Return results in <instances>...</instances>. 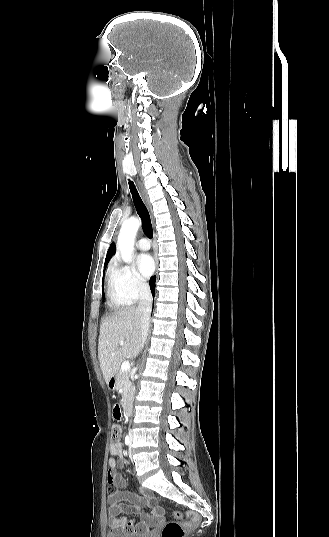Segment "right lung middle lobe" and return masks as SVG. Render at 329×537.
I'll return each mask as SVG.
<instances>
[{
	"label": "right lung middle lobe",
	"mask_w": 329,
	"mask_h": 537,
	"mask_svg": "<svg viewBox=\"0 0 329 537\" xmlns=\"http://www.w3.org/2000/svg\"><path fill=\"white\" fill-rule=\"evenodd\" d=\"M102 298H104L103 283H102Z\"/></svg>",
	"instance_id": "right-lung-middle-lobe-1"
}]
</instances>
